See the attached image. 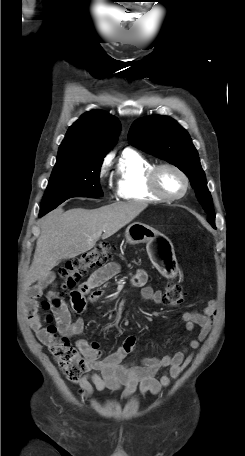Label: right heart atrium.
<instances>
[{"mask_svg":"<svg viewBox=\"0 0 245 456\" xmlns=\"http://www.w3.org/2000/svg\"><path fill=\"white\" fill-rule=\"evenodd\" d=\"M106 168H107V162L104 161L103 164L101 165L100 167V170H99V176L100 177H103L106 173Z\"/></svg>","mask_w":245,"mask_h":456,"instance_id":"obj_1","label":"right heart atrium"}]
</instances>
